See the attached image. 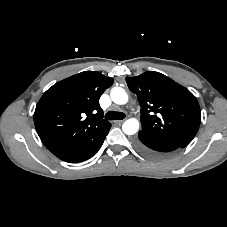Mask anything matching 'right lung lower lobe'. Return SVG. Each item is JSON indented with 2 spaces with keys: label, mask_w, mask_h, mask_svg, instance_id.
Masks as SVG:
<instances>
[{
  "label": "right lung lower lobe",
  "mask_w": 227,
  "mask_h": 227,
  "mask_svg": "<svg viewBox=\"0 0 227 227\" xmlns=\"http://www.w3.org/2000/svg\"><path fill=\"white\" fill-rule=\"evenodd\" d=\"M109 129L101 137H99L97 140H95L93 143H91L86 148L70 152L59 158L63 161L69 162V163H77V162H81V161L89 159L90 157H92L93 155H95L98 152V150L100 149V147L102 146V144L104 142V139L106 138V135L109 132Z\"/></svg>",
  "instance_id": "obj_1"
}]
</instances>
